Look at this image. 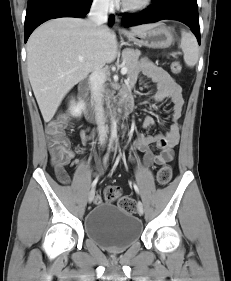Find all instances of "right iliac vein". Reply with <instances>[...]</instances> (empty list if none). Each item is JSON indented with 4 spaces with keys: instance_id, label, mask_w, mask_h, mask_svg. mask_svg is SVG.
Instances as JSON below:
<instances>
[{
    "instance_id": "right-iliac-vein-1",
    "label": "right iliac vein",
    "mask_w": 231,
    "mask_h": 281,
    "mask_svg": "<svg viewBox=\"0 0 231 281\" xmlns=\"http://www.w3.org/2000/svg\"><path fill=\"white\" fill-rule=\"evenodd\" d=\"M94 196H95V189L92 188V189L90 190L89 194H88V201H89V203H91V202L93 201Z\"/></svg>"
}]
</instances>
